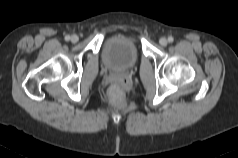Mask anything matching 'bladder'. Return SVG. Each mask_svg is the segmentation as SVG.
Returning <instances> with one entry per match:
<instances>
[{"label": "bladder", "mask_w": 238, "mask_h": 158, "mask_svg": "<svg viewBox=\"0 0 238 158\" xmlns=\"http://www.w3.org/2000/svg\"><path fill=\"white\" fill-rule=\"evenodd\" d=\"M102 58L108 68L125 71L136 65L139 52L133 38L125 35H116L110 37L105 42Z\"/></svg>", "instance_id": "bladder-1"}]
</instances>
